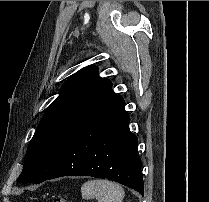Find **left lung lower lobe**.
I'll return each instance as SVG.
<instances>
[{
    "mask_svg": "<svg viewBox=\"0 0 209 202\" xmlns=\"http://www.w3.org/2000/svg\"><path fill=\"white\" fill-rule=\"evenodd\" d=\"M129 121L122 97L104 105L81 125L47 179L62 176L107 178L143 195L138 139L130 132Z\"/></svg>",
    "mask_w": 209,
    "mask_h": 202,
    "instance_id": "obj_1",
    "label": "left lung lower lobe"
}]
</instances>
